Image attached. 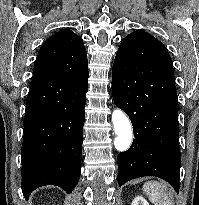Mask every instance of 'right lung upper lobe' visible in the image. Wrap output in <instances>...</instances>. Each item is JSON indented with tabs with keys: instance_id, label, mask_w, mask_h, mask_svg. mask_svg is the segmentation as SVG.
<instances>
[{
	"instance_id": "cb5924a9",
	"label": "right lung upper lobe",
	"mask_w": 199,
	"mask_h": 205,
	"mask_svg": "<svg viewBox=\"0 0 199 205\" xmlns=\"http://www.w3.org/2000/svg\"><path fill=\"white\" fill-rule=\"evenodd\" d=\"M88 74L86 49L82 39L69 29H61L41 46L33 69L32 82L45 81L49 91H62L66 78Z\"/></svg>"
}]
</instances>
